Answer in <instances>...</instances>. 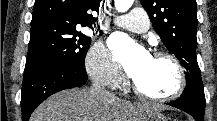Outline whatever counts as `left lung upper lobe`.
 <instances>
[{
  "label": "left lung upper lobe",
  "instance_id": "obj_1",
  "mask_svg": "<svg viewBox=\"0 0 217 121\" xmlns=\"http://www.w3.org/2000/svg\"><path fill=\"white\" fill-rule=\"evenodd\" d=\"M167 49L185 68L186 83L203 91L196 59V0H140Z\"/></svg>",
  "mask_w": 217,
  "mask_h": 121
}]
</instances>
